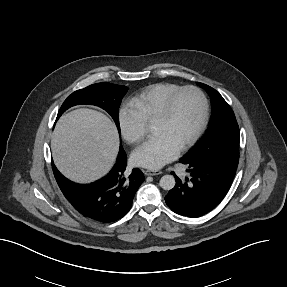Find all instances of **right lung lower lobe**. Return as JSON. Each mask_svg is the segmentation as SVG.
I'll return each mask as SVG.
<instances>
[{
	"label": "right lung lower lobe",
	"instance_id": "1",
	"mask_svg": "<svg viewBox=\"0 0 287 287\" xmlns=\"http://www.w3.org/2000/svg\"><path fill=\"white\" fill-rule=\"evenodd\" d=\"M127 156L122 146L114 167L102 179L91 184H77L66 179L53 165L56 181L72 206L83 216L101 223L122 218L131 208L132 201L144 175L133 169L125 175Z\"/></svg>",
	"mask_w": 287,
	"mask_h": 287
}]
</instances>
